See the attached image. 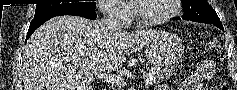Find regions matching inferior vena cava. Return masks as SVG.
<instances>
[{"label":"inferior vena cava","mask_w":237,"mask_h":90,"mask_svg":"<svg viewBox=\"0 0 237 90\" xmlns=\"http://www.w3.org/2000/svg\"><path fill=\"white\" fill-rule=\"evenodd\" d=\"M101 12H103V18H101V28L102 30H105V32H120V24L119 20L116 18V8L114 6H107V4H104L102 8H100ZM100 74H103V70H99L97 72V76H100Z\"/></svg>","instance_id":"1"}]
</instances>
